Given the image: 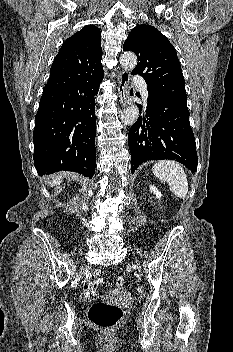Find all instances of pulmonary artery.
<instances>
[{
    "label": "pulmonary artery",
    "instance_id": "1",
    "mask_svg": "<svg viewBox=\"0 0 233 352\" xmlns=\"http://www.w3.org/2000/svg\"><path fill=\"white\" fill-rule=\"evenodd\" d=\"M134 81L136 83H138L139 85H141V89H142V94L144 97H148V91H147V86L145 84V81L143 80V78L139 75H136L134 77Z\"/></svg>",
    "mask_w": 233,
    "mask_h": 352
}]
</instances>
